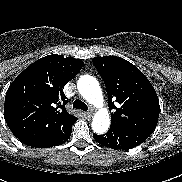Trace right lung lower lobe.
<instances>
[{
    "label": "right lung lower lobe",
    "instance_id": "obj_1",
    "mask_svg": "<svg viewBox=\"0 0 182 182\" xmlns=\"http://www.w3.org/2000/svg\"><path fill=\"white\" fill-rule=\"evenodd\" d=\"M71 132L72 126L52 136L29 142L26 145L38 148L61 145L70 138Z\"/></svg>",
    "mask_w": 182,
    "mask_h": 182
}]
</instances>
